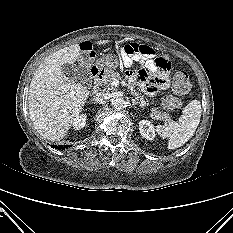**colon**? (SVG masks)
<instances>
[{
  "mask_svg": "<svg viewBox=\"0 0 233 233\" xmlns=\"http://www.w3.org/2000/svg\"><path fill=\"white\" fill-rule=\"evenodd\" d=\"M172 88L176 94H185L189 91L190 81L186 72L180 71L174 75ZM163 104L168 109H178L182 105L181 101L172 95L165 96Z\"/></svg>",
  "mask_w": 233,
  "mask_h": 233,
  "instance_id": "5ec220e1",
  "label": "colon"
}]
</instances>
